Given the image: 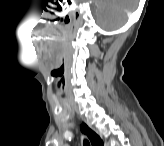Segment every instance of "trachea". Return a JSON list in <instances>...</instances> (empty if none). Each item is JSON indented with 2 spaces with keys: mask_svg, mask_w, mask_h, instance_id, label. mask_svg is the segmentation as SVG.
I'll list each match as a JSON object with an SVG mask.
<instances>
[{
  "mask_svg": "<svg viewBox=\"0 0 164 146\" xmlns=\"http://www.w3.org/2000/svg\"><path fill=\"white\" fill-rule=\"evenodd\" d=\"M84 146H89V142L87 140L84 141Z\"/></svg>",
  "mask_w": 164,
  "mask_h": 146,
  "instance_id": "3493384b",
  "label": "trachea"
}]
</instances>
